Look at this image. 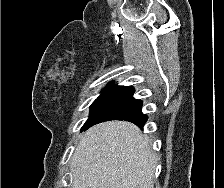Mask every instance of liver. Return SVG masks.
I'll return each mask as SVG.
<instances>
[{
	"label": "liver",
	"mask_w": 224,
	"mask_h": 188,
	"mask_svg": "<svg viewBox=\"0 0 224 188\" xmlns=\"http://www.w3.org/2000/svg\"><path fill=\"white\" fill-rule=\"evenodd\" d=\"M147 143L129 122L91 127L71 160L72 188H153L157 157Z\"/></svg>",
	"instance_id": "liver-1"
}]
</instances>
